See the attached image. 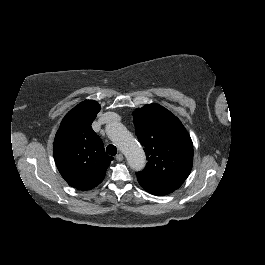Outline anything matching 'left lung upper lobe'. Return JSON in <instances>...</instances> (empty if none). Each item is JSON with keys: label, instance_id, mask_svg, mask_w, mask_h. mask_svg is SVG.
Instances as JSON below:
<instances>
[{"label": "left lung upper lobe", "instance_id": "left-lung-upper-lobe-1", "mask_svg": "<svg viewBox=\"0 0 265 265\" xmlns=\"http://www.w3.org/2000/svg\"><path fill=\"white\" fill-rule=\"evenodd\" d=\"M133 120L148 160L144 170L136 173L138 181L175 191L192 169L190 135L175 115L158 104L136 109Z\"/></svg>", "mask_w": 265, "mask_h": 265}]
</instances>
